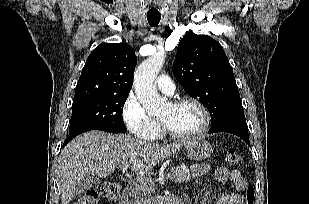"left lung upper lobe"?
Returning <instances> with one entry per match:
<instances>
[{"label":"left lung upper lobe","mask_w":309,"mask_h":204,"mask_svg":"<svg viewBox=\"0 0 309 204\" xmlns=\"http://www.w3.org/2000/svg\"><path fill=\"white\" fill-rule=\"evenodd\" d=\"M173 73L183 89L206 106L211 126L244 113L229 60L211 37L188 32L179 42Z\"/></svg>","instance_id":"5c2ea615"}]
</instances>
